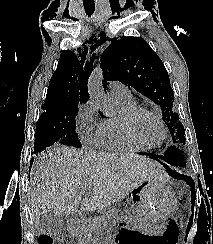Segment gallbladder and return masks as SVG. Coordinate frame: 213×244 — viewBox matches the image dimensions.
I'll use <instances>...</instances> for the list:
<instances>
[{"label":"gallbladder","mask_w":213,"mask_h":244,"mask_svg":"<svg viewBox=\"0 0 213 244\" xmlns=\"http://www.w3.org/2000/svg\"><path fill=\"white\" fill-rule=\"evenodd\" d=\"M64 226V217L56 216L52 212L45 213L40 217L38 233L50 236L58 235Z\"/></svg>","instance_id":"bac80fb5"}]
</instances>
